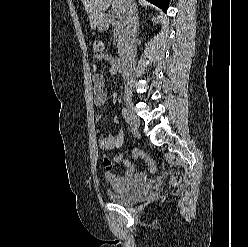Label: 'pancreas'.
<instances>
[{
  "label": "pancreas",
  "mask_w": 248,
  "mask_h": 247,
  "mask_svg": "<svg viewBox=\"0 0 248 247\" xmlns=\"http://www.w3.org/2000/svg\"><path fill=\"white\" fill-rule=\"evenodd\" d=\"M114 37L118 43V54L123 56L128 46V33L122 17H116L112 21Z\"/></svg>",
  "instance_id": "cf45deb5"
}]
</instances>
